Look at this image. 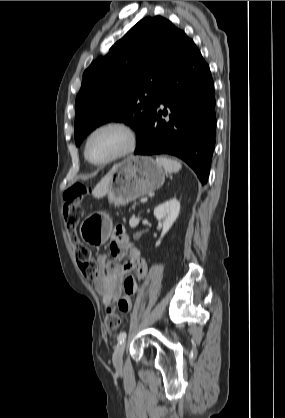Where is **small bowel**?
I'll list each match as a JSON object with an SVG mask.
<instances>
[{
  "label": "small bowel",
  "instance_id": "small-bowel-1",
  "mask_svg": "<svg viewBox=\"0 0 285 418\" xmlns=\"http://www.w3.org/2000/svg\"><path fill=\"white\" fill-rule=\"evenodd\" d=\"M110 252L116 259L128 254L129 261L121 265L109 259L107 254H100L98 274L92 280L96 292L101 296L103 305L116 303L122 312L132 309L131 296L137 291V279L146 277L148 267L140 251L131 246L124 232L117 234L110 244Z\"/></svg>",
  "mask_w": 285,
  "mask_h": 418
}]
</instances>
